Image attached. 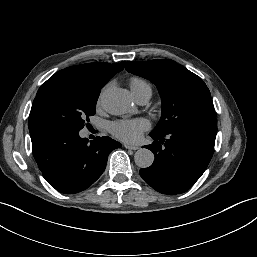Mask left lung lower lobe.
Returning <instances> with one entry per match:
<instances>
[{
  "instance_id": "obj_1",
  "label": "left lung lower lobe",
  "mask_w": 257,
  "mask_h": 257,
  "mask_svg": "<svg viewBox=\"0 0 257 257\" xmlns=\"http://www.w3.org/2000/svg\"><path fill=\"white\" fill-rule=\"evenodd\" d=\"M215 121L179 126L165 134L150 136L153 164L140 169L141 177L158 192L175 195L191 188L207 168L214 151Z\"/></svg>"
}]
</instances>
